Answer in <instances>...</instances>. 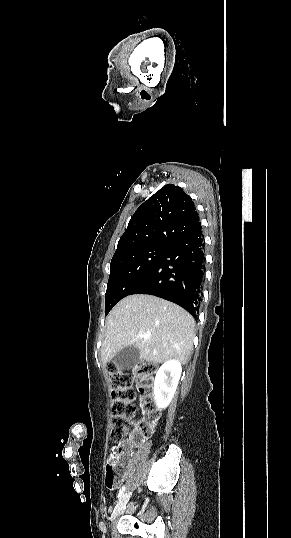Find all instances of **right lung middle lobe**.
<instances>
[{"instance_id":"dd1d6c3e","label":"right lung middle lobe","mask_w":291,"mask_h":538,"mask_svg":"<svg viewBox=\"0 0 291 538\" xmlns=\"http://www.w3.org/2000/svg\"><path fill=\"white\" fill-rule=\"evenodd\" d=\"M170 246L149 245L112 258L110 277L105 294V314L148 275Z\"/></svg>"}]
</instances>
